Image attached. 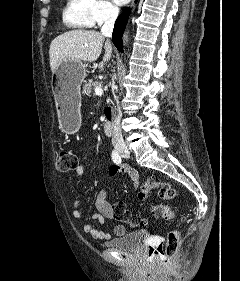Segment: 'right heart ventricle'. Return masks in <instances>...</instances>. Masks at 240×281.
I'll return each instance as SVG.
<instances>
[{"label": "right heart ventricle", "mask_w": 240, "mask_h": 281, "mask_svg": "<svg viewBox=\"0 0 240 281\" xmlns=\"http://www.w3.org/2000/svg\"><path fill=\"white\" fill-rule=\"evenodd\" d=\"M92 0H66L62 12L64 24L70 29L91 28L95 24Z\"/></svg>", "instance_id": "obj_1"}]
</instances>
